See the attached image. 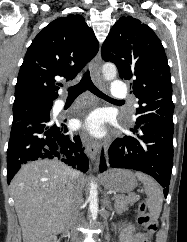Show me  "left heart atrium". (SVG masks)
<instances>
[{
    "instance_id": "obj_1",
    "label": "left heart atrium",
    "mask_w": 187,
    "mask_h": 242,
    "mask_svg": "<svg viewBox=\"0 0 187 242\" xmlns=\"http://www.w3.org/2000/svg\"><path fill=\"white\" fill-rule=\"evenodd\" d=\"M105 119L101 112L93 111L80 121V126L95 136H100L105 130Z\"/></svg>"
}]
</instances>
